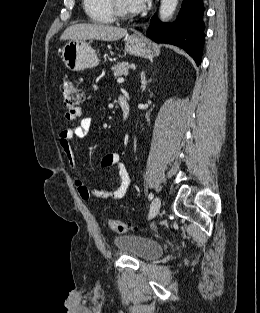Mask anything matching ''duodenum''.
Here are the masks:
<instances>
[{"label":"duodenum","instance_id":"obj_1","mask_svg":"<svg viewBox=\"0 0 260 313\" xmlns=\"http://www.w3.org/2000/svg\"><path fill=\"white\" fill-rule=\"evenodd\" d=\"M119 103H120V107L122 110L123 118L126 120L130 114V109H131L130 103L128 99L124 97L120 98Z\"/></svg>","mask_w":260,"mask_h":313}]
</instances>
